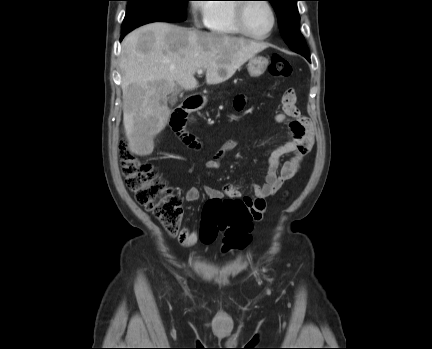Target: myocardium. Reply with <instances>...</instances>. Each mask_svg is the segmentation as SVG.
Here are the masks:
<instances>
[{
	"label": "myocardium",
	"mask_w": 432,
	"mask_h": 349,
	"mask_svg": "<svg viewBox=\"0 0 432 349\" xmlns=\"http://www.w3.org/2000/svg\"><path fill=\"white\" fill-rule=\"evenodd\" d=\"M242 1H246V2H241L239 4H236L234 10V21L238 30L243 35L255 40H265L269 38L277 26V13L273 4L269 0H259L261 1V3H264L269 8L272 15V25L266 34L256 35L248 29L246 24V10L249 7V5L252 4L253 2H251V0H242Z\"/></svg>",
	"instance_id": "1"
}]
</instances>
